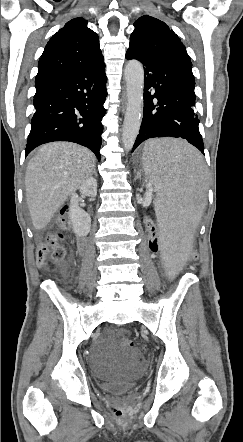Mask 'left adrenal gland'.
I'll return each instance as SVG.
<instances>
[{"instance_id": "a2214340", "label": "left adrenal gland", "mask_w": 243, "mask_h": 442, "mask_svg": "<svg viewBox=\"0 0 243 442\" xmlns=\"http://www.w3.org/2000/svg\"><path fill=\"white\" fill-rule=\"evenodd\" d=\"M140 178V171L137 172L135 179H139Z\"/></svg>"}]
</instances>
